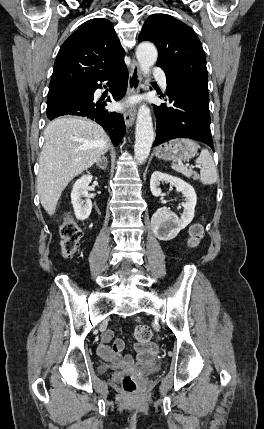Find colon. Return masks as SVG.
<instances>
[{
	"label": "colon",
	"mask_w": 264,
	"mask_h": 429,
	"mask_svg": "<svg viewBox=\"0 0 264 429\" xmlns=\"http://www.w3.org/2000/svg\"><path fill=\"white\" fill-rule=\"evenodd\" d=\"M59 234L63 256H73L79 248L82 237V230L80 226L74 219L66 218L60 226ZM203 234V226L199 223L194 224L190 229V246H196L202 239ZM132 337L137 344L144 345L150 342L152 338V331L145 325H139L133 330ZM121 385L124 391L128 393H135L139 388L138 382L131 375H124L121 378Z\"/></svg>",
	"instance_id": "obj_1"
}]
</instances>
